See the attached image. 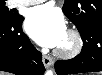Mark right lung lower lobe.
I'll return each instance as SVG.
<instances>
[{"mask_svg":"<svg viewBox=\"0 0 102 75\" xmlns=\"http://www.w3.org/2000/svg\"><path fill=\"white\" fill-rule=\"evenodd\" d=\"M23 20L17 14L10 21L0 20V71L16 75H43L42 54L22 32Z\"/></svg>","mask_w":102,"mask_h":75,"instance_id":"obj_1","label":"right lung lower lobe"}]
</instances>
